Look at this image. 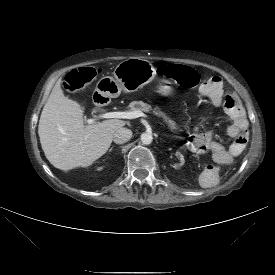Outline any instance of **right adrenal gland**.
<instances>
[{"label":"right adrenal gland","mask_w":275,"mask_h":275,"mask_svg":"<svg viewBox=\"0 0 275 275\" xmlns=\"http://www.w3.org/2000/svg\"><path fill=\"white\" fill-rule=\"evenodd\" d=\"M114 149V146L109 149V152H111Z\"/></svg>","instance_id":"2a0ac1e0"}]
</instances>
